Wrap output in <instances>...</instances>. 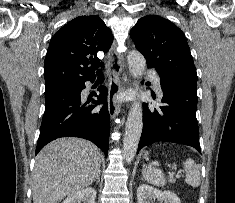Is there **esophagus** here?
<instances>
[{
  "instance_id": "34e87169",
  "label": "esophagus",
  "mask_w": 235,
  "mask_h": 203,
  "mask_svg": "<svg viewBox=\"0 0 235 203\" xmlns=\"http://www.w3.org/2000/svg\"><path fill=\"white\" fill-rule=\"evenodd\" d=\"M109 58L111 67L109 73L108 111L110 117L114 119L121 111L120 95L127 83V76L124 73L125 62L123 55L117 52L115 43H113L109 51Z\"/></svg>"
}]
</instances>
